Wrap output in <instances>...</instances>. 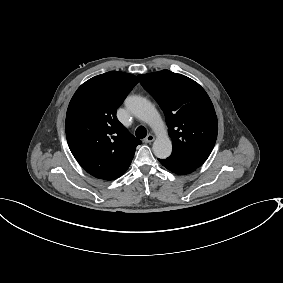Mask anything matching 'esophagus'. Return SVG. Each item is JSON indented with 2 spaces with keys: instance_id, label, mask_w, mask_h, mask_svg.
Returning <instances> with one entry per match:
<instances>
[{
  "instance_id": "esophagus-1",
  "label": "esophagus",
  "mask_w": 283,
  "mask_h": 283,
  "mask_svg": "<svg viewBox=\"0 0 283 283\" xmlns=\"http://www.w3.org/2000/svg\"><path fill=\"white\" fill-rule=\"evenodd\" d=\"M154 140V135L148 134L147 137L143 140L145 143H150Z\"/></svg>"
}]
</instances>
